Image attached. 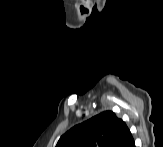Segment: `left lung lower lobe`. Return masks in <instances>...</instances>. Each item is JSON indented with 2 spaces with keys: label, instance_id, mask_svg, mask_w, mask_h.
I'll use <instances>...</instances> for the list:
<instances>
[{
  "label": "left lung lower lobe",
  "instance_id": "0a47b994",
  "mask_svg": "<svg viewBox=\"0 0 163 147\" xmlns=\"http://www.w3.org/2000/svg\"><path fill=\"white\" fill-rule=\"evenodd\" d=\"M115 147H135L134 139L128 128L124 131Z\"/></svg>",
  "mask_w": 163,
  "mask_h": 147
}]
</instances>
